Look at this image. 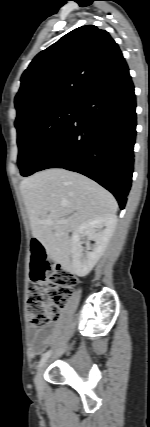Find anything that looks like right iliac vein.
Instances as JSON below:
<instances>
[{
  "label": "right iliac vein",
  "instance_id": "63e3f726",
  "mask_svg": "<svg viewBox=\"0 0 150 427\" xmlns=\"http://www.w3.org/2000/svg\"><path fill=\"white\" fill-rule=\"evenodd\" d=\"M64 351H65V348H62V349L57 353V355H61ZM45 366H46V364H44V365L42 366V368L39 370V372L37 373L36 378H35V383H36V386H37V388H38V389H41V388H42V384H43V381H42V372H43V370H44Z\"/></svg>",
  "mask_w": 150,
  "mask_h": 427
}]
</instances>
